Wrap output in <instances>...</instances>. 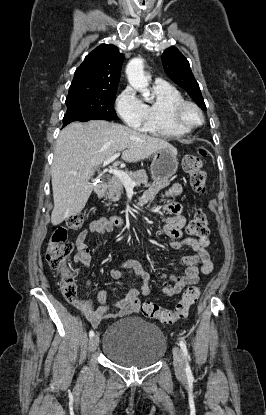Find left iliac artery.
Returning a JSON list of instances; mask_svg holds the SVG:
<instances>
[{"instance_id": "left-iliac-artery-1", "label": "left iliac artery", "mask_w": 266, "mask_h": 415, "mask_svg": "<svg viewBox=\"0 0 266 415\" xmlns=\"http://www.w3.org/2000/svg\"><path fill=\"white\" fill-rule=\"evenodd\" d=\"M179 344H180L181 350L184 354L185 361H186V373H187V375H191V369H190V366H189L190 357L188 355L187 346H186V344L183 340H180Z\"/></svg>"}]
</instances>
